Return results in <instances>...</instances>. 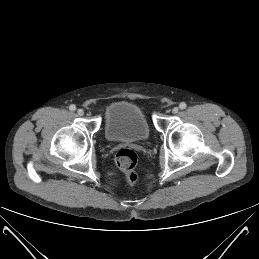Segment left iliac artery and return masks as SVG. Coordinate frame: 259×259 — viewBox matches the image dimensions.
<instances>
[{
  "instance_id": "44dca946",
  "label": "left iliac artery",
  "mask_w": 259,
  "mask_h": 259,
  "mask_svg": "<svg viewBox=\"0 0 259 259\" xmlns=\"http://www.w3.org/2000/svg\"><path fill=\"white\" fill-rule=\"evenodd\" d=\"M186 106H187V105H186L185 102H181V103L179 104V108L182 109V110L185 109Z\"/></svg>"
}]
</instances>
